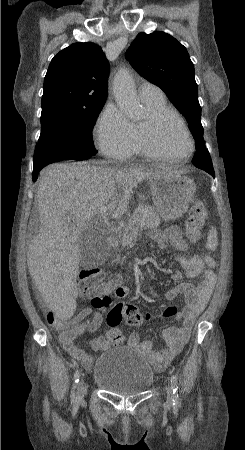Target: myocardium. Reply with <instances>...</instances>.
<instances>
[{
    "label": "myocardium",
    "mask_w": 245,
    "mask_h": 450,
    "mask_svg": "<svg viewBox=\"0 0 245 450\" xmlns=\"http://www.w3.org/2000/svg\"><path fill=\"white\" fill-rule=\"evenodd\" d=\"M167 121L175 122L185 133L190 144V151L187 154L181 156H172L165 153L161 149L158 143V135L161 131V128ZM141 137L146 155L151 159L187 160L195 152V142L189 129L182 121H180L176 116L169 112H163L149 116V118L144 122L141 128Z\"/></svg>",
    "instance_id": "myocardium-1"
}]
</instances>
